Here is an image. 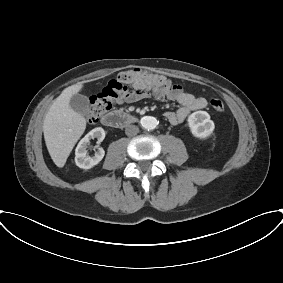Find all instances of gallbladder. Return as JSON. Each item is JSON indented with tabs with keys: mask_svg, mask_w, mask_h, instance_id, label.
I'll return each mask as SVG.
<instances>
[{
	"mask_svg": "<svg viewBox=\"0 0 283 283\" xmlns=\"http://www.w3.org/2000/svg\"><path fill=\"white\" fill-rule=\"evenodd\" d=\"M70 107L81 115H87L89 112V104L86 96L74 94L69 102Z\"/></svg>",
	"mask_w": 283,
	"mask_h": 283,
	"instance_id": "1",
	"label": "gallbladder"
}]
</instances>
